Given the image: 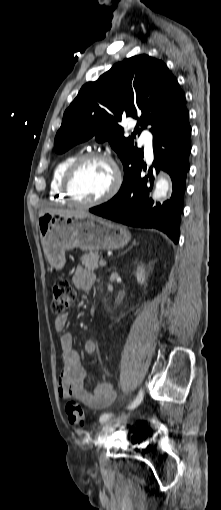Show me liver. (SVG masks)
<instances>
[{
	"label": "liver",
	"instance_id": "liver-1",
	"mask_svg": "<svg viewBox=\"0 0 221 510\" xmlns=\"http://www.w3.org/2000/svg\"><path fill=\"white\" fill-rule=\"evenodd\" d=\"M44 213L61 214L66 216L84 217L90 216V214L83 210H69V209H57V208H44L39 211V216Z\"/></svg>",
	"mask_w": 221,
	"mask_h": 510
}]
</instances>
